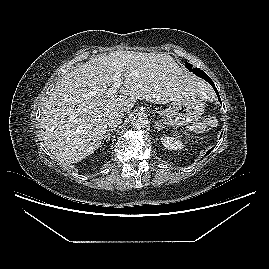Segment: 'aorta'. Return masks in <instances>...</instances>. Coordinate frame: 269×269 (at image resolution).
Listing matches in <instances>:
<instances>
[{
	"instance_id": "obj_1",
	"label": "aorta",
	"mask_w": 269,
	"mask_h": 269,
	"mask_svg": "<svg viewBox=\"0 0 269 269\" xmlns=\"http://www.w3.org/2000/svg\"><path fill=\"white\" fill-rule=\"evenodd\" d=\"M131 124L134 127V129H144L147 127L149 121L145 114L138 113L134 115L131 119Z\"/></svg>"
}]
</instances>
